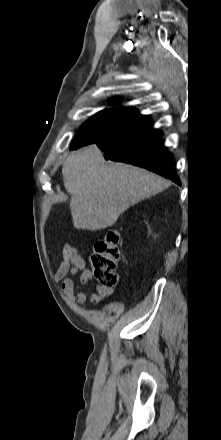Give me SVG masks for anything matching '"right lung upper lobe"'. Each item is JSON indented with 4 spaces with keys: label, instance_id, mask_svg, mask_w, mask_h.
<instances>
[{
    "label": "right lung upper lobe",
    "instance_id": "cb5924a9",
    "mask_svg": "<svg viewBox=\"0 0 221 440\" xmlns=\"http://www.w3.org/2000/svg\"><path fill=\"white\" fill-rule=\"evenodd\" d=\"M118 101H119V99L114 98V99H110V100H109V103H110V104H113V103H117ZM117 109L122 110V111H128V110H126V109L123 108V107H120V108H117ZM131 111H134V112L136 113V110H135V109H134V110H131Z\"/></svg>",
    "mask_w": 221,
    "mask_h": 440
}]
</instances>
